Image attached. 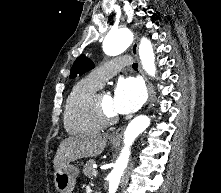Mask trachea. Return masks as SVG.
<instances>
[{
  "label": "trachea",
  "instance_id": "obj_1",
  "mask_svg": "<svg viewBox=\"0 0 221 193\" xmlns=\"http://www.w3.org/2000/svg\"><path fill=\"white\" fill-rule=\"evenodd\" d=\"M132 67H133V68H138V64H137V63H134V64L132 65Z\"/></svg>",
  "mask_w": 221,
  "mask_h": 193
}]
</instances>
